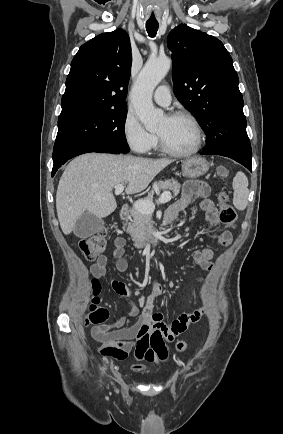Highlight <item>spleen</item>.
Segmentation results:
<instances>
[{"label":"spleen","instance_id":"3e777b00","mask_svg":"<svg viewBox=\"0 0 283 434\" xmlns=\"http://www.w3.org/2000/svg\"><path fill=\"white\" fill-rule=\"evenodd\" d=\"M233 204L238 210H244L248 203V179L242 172H238L233 179Z\"/></svg>","mask_w":283,"mask_h":434}]
</instances>
